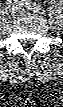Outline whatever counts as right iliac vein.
<instances>
[{
  "label": "right iliac vein",
  "mask_w": 63,
  "mask_h": 107,
  "mask_svg": "<svg viewBox=\"0 0 63 107\" xmlns=\"http://www.w3.org/2000/svg\"><path fill=\"white\" fill-rule=\"evenodd\" d=\"M17 10H18V8L15 7L14 5L9 8V11H10V13H11L12 15H14Z\"/></svg>",
  "instance_id": "obj_1"
}]
</instances>
